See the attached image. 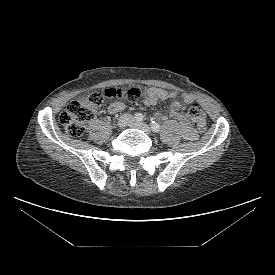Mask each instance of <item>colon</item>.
Wrapping results in <instances>:
<instances>
[{
  "label": "colon",
  "instance_id": "colon-1",
  "mask_svg": "<svg viewBox=\"0 0 275 275\" xmlns=\"http://www.w3.org/2000/svg\"><path fill=\"white\" fill-rule=\"evenodd\" d=\"M138 95L136 89L121 88H109L104 92L93 93L71 101L61 112L59 121L69 136L78 137L84 133L86 123L97 115L104 99L134 100ZM189 115L197 131L204 132L207 120L203 110L198 105H193L189 109Z\"/></svg>",
  "mask_w": 275,
  "mask_h": 275
}]
</instances>
